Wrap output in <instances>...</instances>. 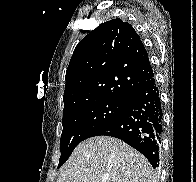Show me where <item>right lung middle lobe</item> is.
Here are the masks:
<instances>
[{
	"label": "right lung middle lobe",
	"mask_w": 196,
	"mask_h": 182,
	"mask_svg": "<svg viewBox=\"0 0 196 182\" xmlns=\"http://www.w3.org/2000/svg\"><path fill=\"white\" fill-rule=\"evenodd\" d=\"M128 103L121 99L102 97L64 111L58 168L81 141L91 137L101 126L124 111Z\"/></svg>",
	"instance_id": "obj_1"
}]
</instances>
